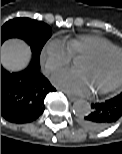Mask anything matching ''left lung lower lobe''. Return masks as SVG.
<instances>
[{
	"label": "left lung lower lobe",
	"mask_w": 122,
	"mask_h": 154,
	"mask_svg": "<svg viewBox=\"0 0 122 154\" xmlns=\"http://www.w3.org/2000/svg\"><path fill=\"white\" fill-rule=\"evenodd\" d=\"M92 110L79 123L88 130H104L122 117V93L105 102L91 105Z\"/></svg>",
	"instance_id": "0a47b994"
}]
</instances>
